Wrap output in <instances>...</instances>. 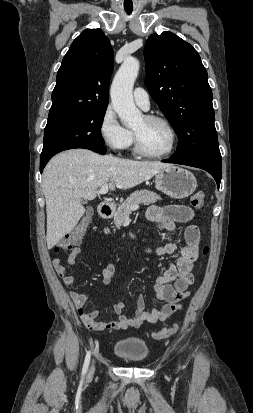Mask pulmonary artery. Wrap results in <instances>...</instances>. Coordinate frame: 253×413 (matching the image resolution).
I'll list each match as a JSON object with an SVG mask.
<instances>
[{
	"label": "pulmonary artery",
	"mask_w": 253,
	"mask_h": 413,
	"mask_svg": "<svg viewBox=\"0 0 253 413\" xmlns=\"http://www.w3.org/2000/svg\"><path fill=\"white\" fill-rule=\"evenodd\" d=\"M135 103L143 110H148L150 107V99L147 91L141 87L135 88L133 92Z\"/></svg>",
	"instance_id": "e3ab8cb5"
}]
</instances>
